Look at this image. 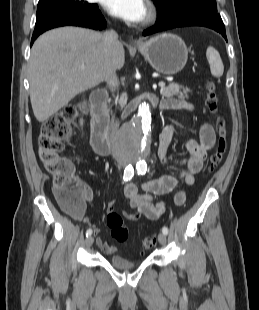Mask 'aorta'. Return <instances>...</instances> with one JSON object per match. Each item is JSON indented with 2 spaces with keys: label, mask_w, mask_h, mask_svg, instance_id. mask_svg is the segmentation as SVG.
<instances>
[{
  "label": "aorta",
  "mask_w": 259,
  "mask_h": 310,
  "mask_svg": "<svg viewBox=\"0 0 259 310\" xmlns=\"http://www.w3.org/2000/svg\"><path fill=\"white\" fill-rule=\"evenodd\" d=\"M151 143V110L141 103L133 119L121 130L117 145L121 152L132 160L144 159L149 154Z\"/></svg>",
  "instance_id": "obj_1"
}]
</instances>
